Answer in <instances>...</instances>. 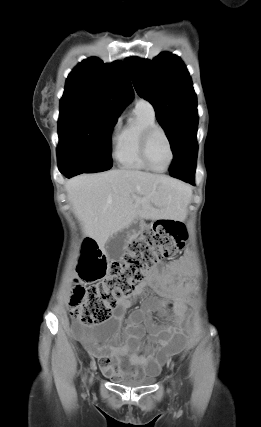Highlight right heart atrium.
<instances>
[{"label":"right heart atrium","instance_id":"right-heart-atrium-1","mask_svg":"<svg viewBox=\"0 0 261 427\" xmlns=\"http://www.w3.org/2000/svg\"><path fill=\"white\" fill-rule=\"evenodd\" d=\"M117 126H118V123L116 122V123L114 124V126H113L112 136H111V142H112L113 144H115V143H116V139H117V137L115 136V131H116V129H117Z\"/></svg>","mask_w":261,"mask_h":427}]
</instances>
